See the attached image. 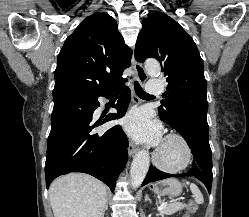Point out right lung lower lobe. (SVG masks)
<instances>
[{
	"instance_id": "1",
	"label": "right lung lower lobe",
	"mask_w": 249,
	"mask_h": 217,
	"mask_svg": "<svg viewBox=\"0 0 249 217\" xmlns=\"http://www.w3.org/2000/svg\"><path fill=\"white\" fill-rule=\"evenodd\" d=\"M121 86L123 92L113 106L118 113L107 115L102 122L92 120L93 112L99 106L98 97L109 98L113 87L94 93L77 90L53 92L52 127L45 163L47 189L60 175L83 172L98 178L114 191L117 177L127 161L128 139L119 125L106 132L96 133L95 130L126 113L130 89Z\"/></svg>"
}]
</instances>
